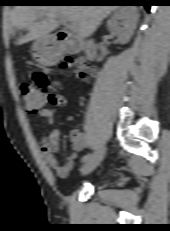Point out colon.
Here are the masks:
<instances>
[{"label":"colon","mask_w":170,"mask_h":231,"mask_svg":"<svg viewBox=\"0 0 170 231\" xmlns=\"http://www.w3.org/2000/svg\"><path fill=\"white\" fill-rule=\"evenodd\" d=\"M62 67L73 68L75 73L82 79H88L95 74V69L88 68L84 61L73 62L71 59H66ZM20 89L28 112L38 114L45 105L43 93L31 83H23Z\"/></svg>","instance_id":"1"}]
</instances>
